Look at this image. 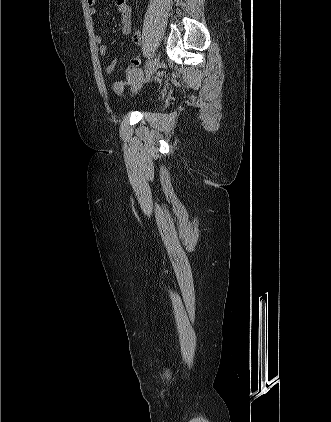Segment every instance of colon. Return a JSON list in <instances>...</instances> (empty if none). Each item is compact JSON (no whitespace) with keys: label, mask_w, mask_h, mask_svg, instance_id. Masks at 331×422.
<instances>
[{"label":"colon","mask_w":331,"mask_h":422,"mask_svg":"<svg viewBox=\"0 0 331 422\" xmlns=\"http://www.w3.org/2000/svg\"><path fill=\"white\" fill-rule=\"evenodd\" d=\"M128 74H133V75H135V76H137V77H141V72H140V70L135 69V68H129V69H128Z\"/></svg>","instance_id":"colon-1"}]
</instances>
